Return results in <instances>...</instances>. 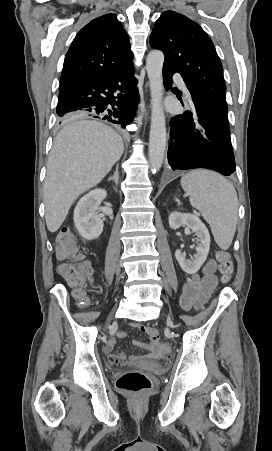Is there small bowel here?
I'll return each mask as SVG.
<instances>
[{"label":"small bowel","mask_w":272,"mask_h":451,"mask_svg":"<svg viewBox=\"0 0 272 451\" xmlns=\"http://www.w3.org/2000/svg\"><path fill=\"white\" fill-rule=\"evenodd\" d=\"M216 269V262L213 259H210L203 268V273L205 276L204 282L206 283L209 278L212 277L214 271ZM200 281V278L198 275H194L185 285L184 292L181 300L182 306L187 309H197L200 307L201 303L203 302V296L200 294V290L203 287V283ZM140 330L143 333H146L148 337L151 338L155 337V341H157V334L155 331L151 330L150 328L141 326ZM126 334L123 333L122 336H125ZM154 342H151L149 344L141 342V341H135L134 345L140 349L149 350V346H152ZM116 346V340L114 338H109L105 342L104 347V353L108 359V352H114V348ZM119 366V365H118Z\"/></svg>","instance_id":"1"}]
</instances>
